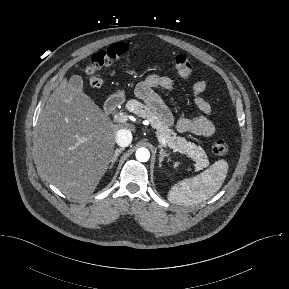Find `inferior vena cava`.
<instances>
[{"mask_svg":"<svg viewBox=\"0 0 289 289\" xmlns=\"http://www.w3.org/2000/svg\"><path fill=\"white\" fill-rule=\"evenodd\" d=\"M132 142V133L127 129H120L116 133V143L120 147H127Z\"/></svg>","mask_w":289,"mask_h":289,"instance_id":"obj_1","label":"inferior vena cava"}]
</instances>
